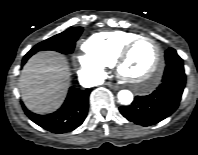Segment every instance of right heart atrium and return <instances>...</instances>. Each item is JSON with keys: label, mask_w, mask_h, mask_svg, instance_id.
<instances>
[{"label": "right heart atrium", "mask_w": 198, "mask_h": 155, "mask_svg": "<svg viewBox=\"0 0 198 155\" xmlns=\"http://www.w3.org/2000/svg\"><path fill=\"white\" fill-rule=\"evenodd\" d=\"M76 62L83 76L91 79H100L105 74V65L88 54H78Z\"/></svg>", "instance_id": "d8ad5b80"}]
</instances>
